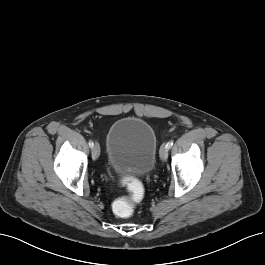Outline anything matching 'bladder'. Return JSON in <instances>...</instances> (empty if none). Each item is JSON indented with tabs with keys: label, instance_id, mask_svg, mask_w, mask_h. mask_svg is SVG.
I'll return each mask as SVG.
<instances>
[{
	"label": "bladder",
	"instance_id": "obj_1",
	"mask_svg": "<svg viewBox=\"0 0 265 265\" xmlns=\"http://www.w3.org/2000/svg\"><path fill=\"white\" fill-rule=\"evenodd\" d=\"M157 138L152 126L138 117L113 122L106 137V154L114 171L121 175L149 174L156 160Z\"/></svg>",
	"mask_w": 265,
	"mask_h": 265
}]
</instances>
